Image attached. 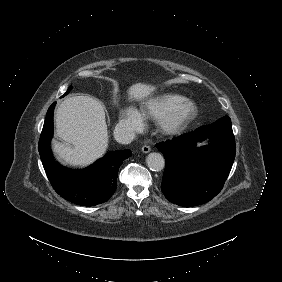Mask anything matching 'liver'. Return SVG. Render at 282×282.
<instances>
[{"label":"liver","instance_id":"obj_1","mask_svg":"<svg viewBox=\"0 0 282 282\" xmlns=\"http://www.w3.org/2000/svg\"><path fill=\"white\" fill-rule=\"evenodd\" d=\"M159 89L157 84L132 82L125 88V101L147 102ZM54 125L56 135L68 143L51 140V150L61 165L84 170L107 153L109 134L98 101L81 95L64 99L56 109Z\"/></svg>","mask_w":282,"mask_h":282}]
</instances>
